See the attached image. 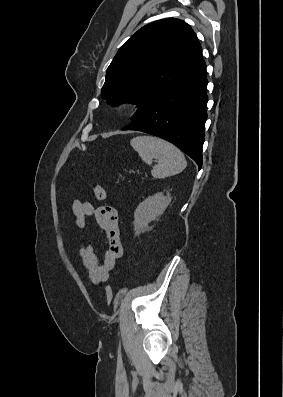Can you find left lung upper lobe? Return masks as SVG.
Returning a JSON list of instances; mask_svg holds the SVG:
<instances>
[{"instance_id": "5c2ea615", "label": "left lung upper lobe", "mask_w": 283, "mask_h": 397, "mask_svg": "<svg viewBox=\"0 0 283 397\" xmlns=\"http://www.w3.org/2000/svg\"><path fill=\"white\" fill-rule=\"evenodd\" d=\"M205 65L196 34L184 21L167 18L139 29L106 71L101 97L109 105L137 104V119L167 91Z\"/></svg>"}]
</instances>
